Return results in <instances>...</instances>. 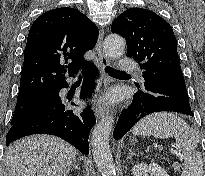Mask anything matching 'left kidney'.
<instances>
[{
	"label": "left kidney",
	"mask_w": 205,
	"mask_h": 176,
	"mask_svg": "<svg viewBox=\"0 0 205 176\" xmlns=\"http://www.w3.org/2000/svg\"><path fill=\"white\" fill-rule=\"evenodd\" d=\"M133 176H169L165 169L157 163L146 165L145 163L136 164L132 168Z\"/></svg>",
	"instance_id": "1"
}]
</instances>
